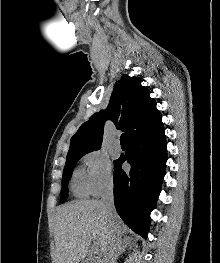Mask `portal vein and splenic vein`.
I'll list each match as a JSON object with an SVG mask.
<instances>
[{
	"label": "portal vein and splenic vein",
	"mask_w": 220,
	"mask_h": 263,
	"mask_svg": "<svg viewBox=\"0 0 220 263\" xmlns=\"http://www.w3.org/2000/svg\"><path fill=\"white\" fill-rule=\"evenodd\" d=\"M92 251H93L94 253H97V252H98V248H97L95 242H94V244H93V246H92Z\"/></svg>",
	"instance_id": "obj_1"
}]
</instances>
